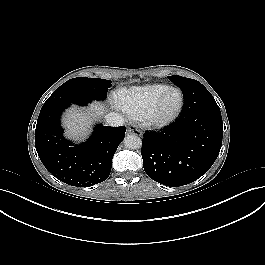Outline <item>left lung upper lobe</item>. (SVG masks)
<instances>
[{
    "instance_id": "obj_1",
    "label": "left lung upper lobe",
    "mask_w": 265,
    "mask_h": 265,
    "mask_svg": "<svg viewBox=\"0 0 265 265\" xmlns=\"http://www.w3.org/2000/svg\"><path fill=\"white\" fill-rule=\"evenodd\" d=\"M169 79L173 83H175L179 88H182L183 86L188 85V84H192V83L201 84V83H199L196 80H193V79H190V78L181 77V76H178V75L169 76ZM204 89H205L204 103L208 104V105H212V106L217 105V103L215 102V100H214L213 96L210 94V92L205 87H204Z\"/></svg>"
}]
</instances>
